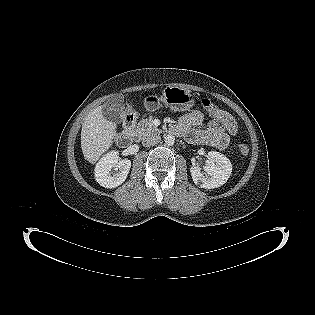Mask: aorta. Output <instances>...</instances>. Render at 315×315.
<instances>
[{
	"instance_id": "762f6f07",
	"label": "aorta",
	"mask_w": 315,
	"mask_h": 315,
	"mask_svg": "<svg viewBox=\"0 0 315 315\" xmlns=\"http://www.w3.org/2000/svg\"><path fill=\"white\" fill-rule=\"evenodd\" d=\"M165 144L168 146H172L175 143V137L172 135H166L164 137Z\"/></svg>"
}]
</instances>
